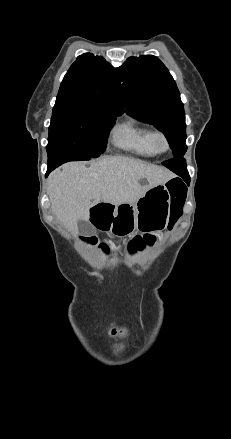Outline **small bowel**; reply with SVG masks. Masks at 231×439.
<instances>
[{
    "label": "small bowel",
    "instance_id": "obj_1",
    "mask_svg": "<svg viewBox=\"0 0 231 439\" xmlns=\"http://www.w3.org/2000/svg\"><path fill=\"white\" fill-rule=\"evenodd\" d=\"M156 239L157 237L153 233L144 232L131 242L130 248L133 251L145 250L153 246V244L156 242Z\"/></svg>",
    "mask_w": 231,
    "mask_h": 439
}]
</instances>
